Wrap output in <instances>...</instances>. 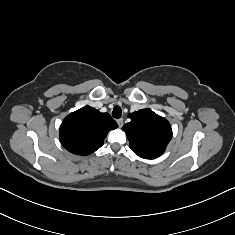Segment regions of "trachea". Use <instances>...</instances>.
<instances>
[{
    "instance_id": "obj_1",
    "label": "trachea",
    "mask_w": 235,
    "mask_h": 235,
    "mask_svg": "<svg viewBox=\"0 0 235 235\" xmlns=\"http://www.w3.org/2000/svg\"><path fill=\"white\" fill-rule=\"evenodd\" d=\"M121 115H122V110H121V108L119 107V106H115L114 107V109H113V111H112V116L114 117V118H120L121 117Z\"/></svg>"
}]
</instances>
